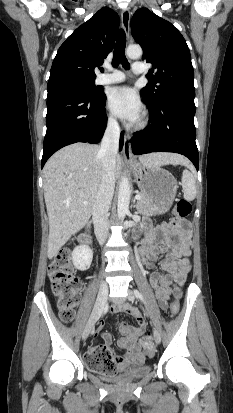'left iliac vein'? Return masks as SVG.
Wrapping results in <instances>:
<instances>
[{"label":"left iliac vein","mask_w":233,"mask_h":413,"mask_svg":"<svg viewBox=\"0 0 233 413\" xmlns=\"http://www.w3.org/2000/svg\"><path fill=\"white\" fill-rule=\"evenodd\" d=\"M128 299H129L130 301H132V302L135 301V295H134V293H133L131 290H128ZM153 335H154V341H155V343H156V344H160V342H161L160 332H159L157 329H155L154 332H153Z\"/></svg>","instance_id":"1"}]
</instances>
